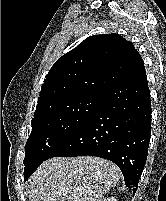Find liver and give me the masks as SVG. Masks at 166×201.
I'll use <instances>...</instances> for the list:
<instances>
[{
	"instance_id": "obj_1",
	"label": "liver",
	"mask_w": 166,
	"mask_h": 201,
	"mask_svg": "<svg viewBox=\"0 0 166 201\" xmlns=\"http://www.w3.org/2000/svg\"><path fill=\"white\" fill-rule=\"evenodd\" d=\"M119 168L94 156L44 161L29 179V201H102L120 179Z\"/></svg>"
}]
</instances>
